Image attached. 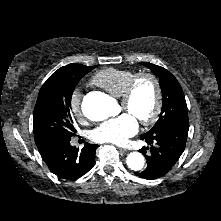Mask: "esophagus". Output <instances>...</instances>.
<instances>
[{
    "instance_id": "1",
    "label": "esophagus",
    "mask_w": 221,
    "mask_h": 221,
    "mask_svg": "<svg viewBox=\"0 0 221 221\" xmlns=\"http://www.w3.org/2000/svg\"><path fill=\"white\" fill-rule=\"evenodd\" d=\"M118 150H119L120 152H122V153H126V152H128L127 149H123V148H118Z\"/></svg>"
}]
</instances>
